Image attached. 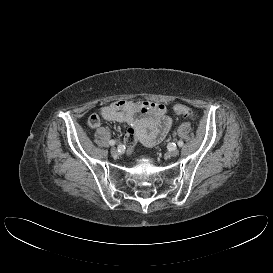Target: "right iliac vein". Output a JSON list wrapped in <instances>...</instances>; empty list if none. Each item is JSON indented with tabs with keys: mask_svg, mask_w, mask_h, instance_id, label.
Instances as JSON below:
<instances>
[{
	"mask_svg": "<svg viewBox=\"0 0 273 273\" xmlns=\"http://www.w3.org/2000/svg\"><path fill=\"white\" fill-rule=\"evenodd\" d=\"M110 152H111V154H112L113 156H117V155H118V150H117L116 147H112L111 150H110Z\"/></svg>",
	"mask_w": 273,
	"mask_h": 273,
	"instance_id": "obj_1",
	"label": "right iliac vein"
}]
</instances>
